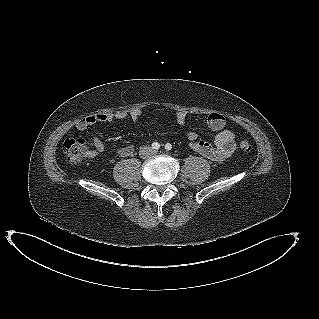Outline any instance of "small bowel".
<instances>
[{
  "instance_id": "c3829d8e",
  "label": "small bowel",
  "mask_w": 319,
  "mask_h": 319,
  "mask_svg": "<svg viewBox=\"0 0 319 319\" xmlns=\"http://www.w3.org/2000/svg\"><path fill=\"white\" fill-rule=\"evenodd\" d=\"M142 115L141 109H134L129 113L120 110L115 112H103L89 115L76 124L79 132L85 131L90 126L97 123H112L129 117L133 122H138ZM174 115L178 124L183 125L188 117V113L183 110L174 111ZM206 122L208 127L216 133L212 142L200 139L195 132L188 133L189 146L202 156L216 162H221L232 156L236 149V136L226 128L225 117L218 112L207 115ZM94 150L93 155H98L104 151V142L99 136L93 138ZM135 147L132 144L117 148L115 153L120 158L130 157L134 154Z\"/></svg>"
}]
</instances>
